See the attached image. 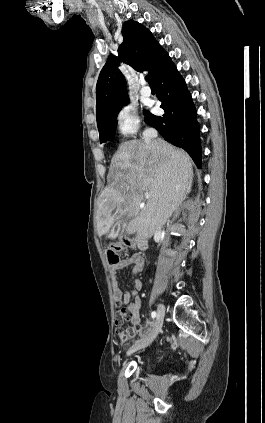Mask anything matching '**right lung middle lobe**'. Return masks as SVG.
Returning <instances> with one entry per match:
<instances>
[{
    "mask_svg": "<svg viewBox=\"0 0 265 423\" xmlns=\"http://www.w3.org/2000/svg\"><path fill=\"white\" fill-rule=\"evenodd\" d=\"M128 104V99L124 101V105ZM122 108L120 104L110 114H108L102 122L98 123V130L100 134V143L113 140L115 137V129L117 126V115Z\"/></svg>",
    "mask_w": 265,
    "mask_h": 423,
    "instance_id": "obj_1",
    "label": "right lung middle lobe"
}]
</instances>
